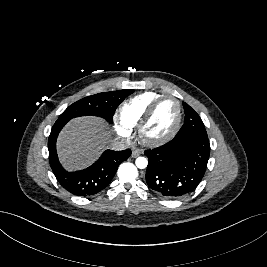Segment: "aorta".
Here are the masks:
<instances>
[{"label":"aorta","instance_id":"aorta-1","mask_svg":"<svg viewBox=\"0 0 267 267\" xmlns=\"http://www.w3.org/2000/svg\"><path fill=\"white\" fill-rule=\"evenodd\" d=\"M135 164L139 169H144L147 167L148 161L145 157H138L135 161Z\"/></svg>","mask_w":267,"mask_h":267}]
</instances>
